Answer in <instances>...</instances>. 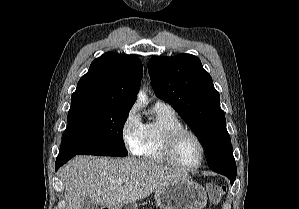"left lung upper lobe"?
<instances>
[{
	"label": "left lung upper lobe",
	"instance_id": "1",
	"mask_svg": "<svg viewBox=\"0 0 299 209\" xmlns=\"http://www.w3.org/2000/svg\"><path fill=\"white\" fill-rule=\"evenodd\" d=\"M155 95L171 104L205 149L210 168L232 152L220 96L200 60L190 54L155 56L148 62Z\"/></svg>",
	"mask_w": 299,
	"mask_h": 209
}]
</instances>
